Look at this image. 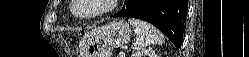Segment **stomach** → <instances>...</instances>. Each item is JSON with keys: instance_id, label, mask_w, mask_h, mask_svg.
<instances>
[{"instance_id": "0dacf381", "label": "stomach", "mask_w": 249, "mask_h": 57, "mask_svg": "<svg viewBox=\"0 0 249 57\" xmlns=\"http://www.w3.org/2000/svg\"><path fill=\"white\" fill-rule=\"evenodd\" d=\"M132 29L124 20L92 30L82 40V57H111L113 49L127 43Z\"/></svg>"}]
</instances>
